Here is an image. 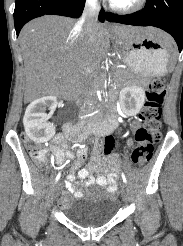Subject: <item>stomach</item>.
<instances>
[{"instance_id": "1", "label": "stomach", "mask_w": 183, "mask_h": 246, "mask_svg": "<svg viewBox=\"0 0 183 246\" xmlns=\"http://www.w3.org/2000/svg\"><path fill=\"white\" fill-rule=\"evenodd\" d=\"M116 42L118 38L114 35ZM120 52L124 61L135 74L161 75L168 64V45L149 35H138L121 41Z\"/></svg>"}]
</instances>
